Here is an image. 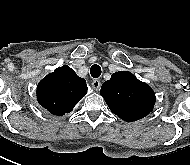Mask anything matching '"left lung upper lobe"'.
<instances>
[{
    "mask_svg": "<svg viewBox=\"0 0 190 165\" xmlns=\"http://www.w3.org/2000/svg\"><path fill=\"white\" fill-rule=\"evenodd\" d=\"M101 96L114 114L128 122L147 116L156 100L154 91L128 71L113 73L102 85Z\"/></svg>",
    "mask_w": 190,
    "mask_h": 165,
    "instance_id": "5c2ea615",
    "label": "left lung upper lobe"
}]
</instances>
